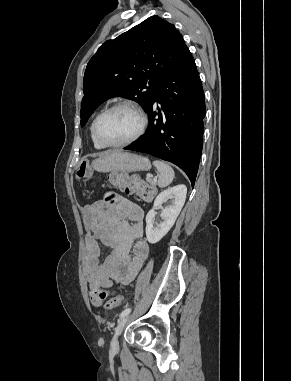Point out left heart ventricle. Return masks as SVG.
<instances>
[{"label":"left heart ventricle","instance_id":"b2bd125f","mask_svg":"<svg viewBox=\"0 0 291 381\" xmlns=\"http://www.w3.org/2000/svg\"><path fill=\"white\" fill-rule=\"evenodd\" d=\"M139 125L140 119L135 111L129 108H120L102 119L99 130L106 141L118 143L132 137Z\"/></svg>","mask_w":291,"mask_h":381}]
</instances>
